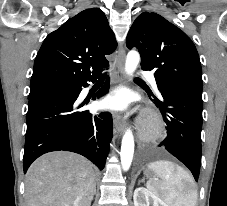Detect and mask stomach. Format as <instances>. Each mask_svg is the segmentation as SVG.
<instances>
[{"instance_id":"obj_1","label":"stomach","mask_w":227,"mask_h":206,"mask_svg":"<svg viewBox=\"0 0 227 206\" xmlns=\"http://www.w3.org/2000/svg\"><path fill=\"white\" fill-rule=\"evenodd\" d=\"M145 175L148 176V175H151V173H150L148 170H146V171H145Z\"/></svg>"}]
</instances>
